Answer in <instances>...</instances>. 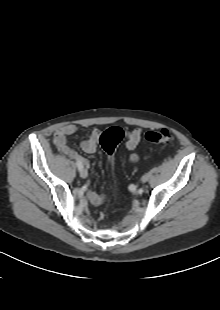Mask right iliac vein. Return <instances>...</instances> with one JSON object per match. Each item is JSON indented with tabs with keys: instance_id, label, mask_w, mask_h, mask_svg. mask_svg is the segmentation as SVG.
Here are the masks:
<instances>
[{
	"instance_id": "obj_1",
	"label": "right iliac vein",
	"mask_w": 220,
	"mask_h": 310,
	"mask_svg": "<svg viewBox=\"0 0 220 310\" xmlns=\"http://www.w3.org/2000/svg\"><path fill=\"white\" fill-rule=\"evenodd\" d=\"M80 176H81L82 178H86V177L88 176L87 170H86V169H81V170H80Z\"/></svg>"
}]
</instances>
